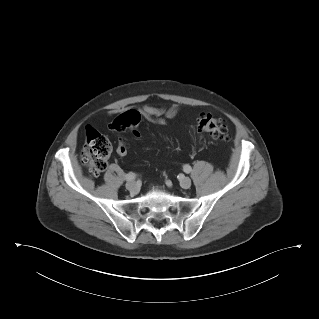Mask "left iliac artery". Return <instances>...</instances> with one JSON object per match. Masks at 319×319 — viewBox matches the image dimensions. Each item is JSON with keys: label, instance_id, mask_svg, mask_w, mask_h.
Here are the masks:
<instances>
[{"label": "left iliac artery", "instance_id": "left-iliac-artery-1", "mask_svg": "<svg viewBox=\"0 0 319 319\" xmlns=\"http://www.w3.org/2000/svg\"><path fill=\"white\" fill-rule=\"evenodd\" d=\"M183 169H184V172H186V173H190V172L192 171V168H191L190 165H185V166L183 167Z\"/></svg>", "mask_w": 319, "mask_h": 319}]
</instances>
